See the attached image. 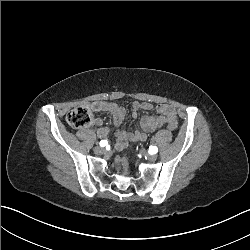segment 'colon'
<instances>
[{
	"mask_svg": "<svg viewBox=\"0 0 250 250\" xmlns=\"http://www.w3.org/2000/svg\"><path fill=\"white\" fill-rule=\"evenodd\" d=\"M92 119L91 112L85 107H75L66 115V122L73 129H81L89 126ZM166 126L169 131L173 133H176L179 130V124L174 120L168 122Z\"/></svg>",
	"mask_w": 250,
	"mask_h": 250,
	"instance_id": "colon-1",
	"label": "colon"
}]
</instances>
